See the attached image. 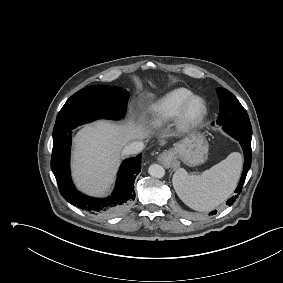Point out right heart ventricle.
<instances>
[{"mask_svg":"<svg viewBox=\"0 0 283 283\" xmlns=\"http://www.w3.org/2000/svg\"><path fill=\"white\" fill-rule=\"evenodd\" d=\"M191 91L185 88L172 90L150 106V125L159 127L177 116L182 103L191 95Z\"/></svg>","mask_w":283,"mask_h":283,"instance_id":"right-heart-ventricle-1","label":"right heart ventricle"}]
</instances>
